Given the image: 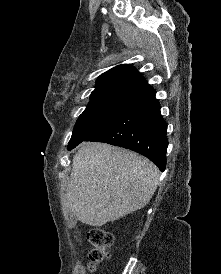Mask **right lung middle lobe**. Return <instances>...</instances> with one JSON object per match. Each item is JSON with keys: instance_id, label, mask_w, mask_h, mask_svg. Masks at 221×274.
I'll return each instance as SVG.
<instances>
[{"instance_id": "1", "label": "right lung middle lobe", "mask_w": 221, "mask_h": 274, "mask_svg": "<svg viewBox=\"0 0 221 274\" xmlns=\"http://www.w3.org/2000/svg\"><path fill=\"white\" fill-rule=\"evenodd\" d=\"M132 102L131 100L116 98L91 99L76 122L68 149L76 147L100 131Z\"/></svg>"}]
</instances>
